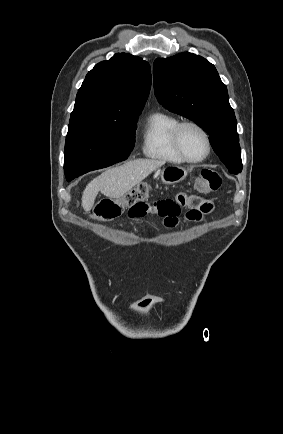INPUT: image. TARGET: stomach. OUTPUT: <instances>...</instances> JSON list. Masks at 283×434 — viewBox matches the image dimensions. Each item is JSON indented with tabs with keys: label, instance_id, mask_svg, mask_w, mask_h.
<instances>
[{
	"label": "stomach",
	"instance_id": "0dacf381",
	"mask_svg": "<svg viewBox=\"0 0 283 434\" xmlns=\"http://www.w3.org/2000/svg\"><path fill=\"white\" fill-rule=\"evenodd\" d=\"M187 174V170L181 166H170L161 171L160 178L164 184H175L184 180Z\"/></svg>",
	"mask_w": 283,
	"mask_h": 434
}]
</instances>
